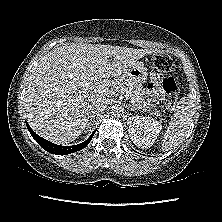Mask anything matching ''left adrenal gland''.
Returning a JSON list of instances; mask_svg holds the SVG:
<instances>
[{"mask_svg": "<svg viewBox=\"0 0 222 222\" xmlns=\"http://www.w3.org/2000/svg\"><path fill=\"white\" fill-rule=\"evenodd\" d=\"M127 109H130V110H137V108L136 107H133L131 104H127Z\"/></svg>", "mask_w": 222, "mask_h": 222, "instance_id": "1", "label": "left adrenal gland"}]
</instances>
